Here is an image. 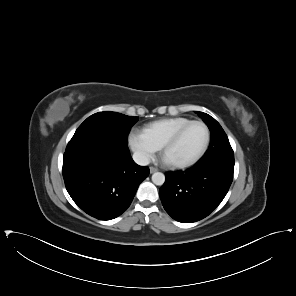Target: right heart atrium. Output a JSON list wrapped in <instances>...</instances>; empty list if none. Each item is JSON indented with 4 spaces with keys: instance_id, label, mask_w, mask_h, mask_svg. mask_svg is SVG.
Listing matches in <instances>:
<instances>
[{
    "instance_id": "right-heart-atrium-1",
    "label": "right heart atrium",
    "mask_w": 296,
    "mask_h": 296,
    "mask_svg": "<svg viewBox=\"0 0 296 296\" xmlns=\"http://www.w3.org/2000/svg\"><path fill=\"white\" fill-rule=\"evenodd\" d=\"M128 141L133 152L143 162L150 161L159 149L144 133L138 130L130 133Z\"/></svg>"
}]
</instances>
